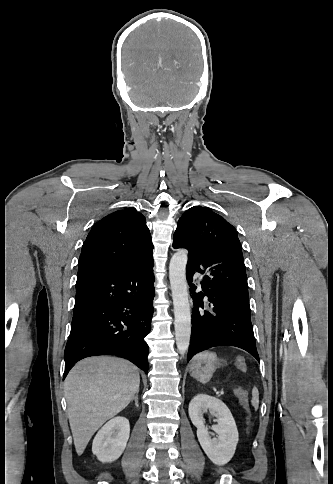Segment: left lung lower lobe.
I'll use <instances>...</instances> for the list:
<instances>
[{"label": "left lung lower lobe", "instance_id": "left-lung-lower-lobe-1", "mask_svg": "<svg viewBox=\"0 0 333 484\" xmlns=\"http://www.w3.org/2000/svg\"><path fill=\"white\" fill-rule=\"evenodd\" d=\"M173 248L189 251L186 275L194 307L192 334L187 361L193 355L215 346H236L252 354L259 362L241 245L233 237L191 243L182 232L173 236ZM207 273L196 293L193 275ZM210 301L204 308L203 298Z\"/></svg>", "mask_w": 333, "mask_h": 484}]
</instances>
